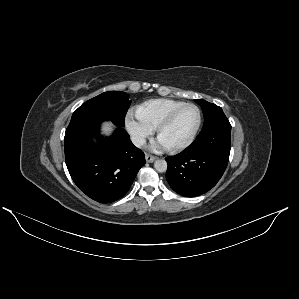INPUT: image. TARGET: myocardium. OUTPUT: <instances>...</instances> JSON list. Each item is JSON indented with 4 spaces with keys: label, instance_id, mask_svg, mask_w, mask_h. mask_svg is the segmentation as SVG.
I'll use <instances>...</instances> for the list:
<instances>
[{
    "label": "myocardium",
    "instance_id": "1",
    "mask_svg": "<svg viewBox=\"0 0 299 299\" xmlns=\"http://www.w3.org/2000/svg\"><path fill=\"white\" fill-rule=\"evenodd\" d=\"M185 107H194L197 112H198V121L196 124L195 129L193 130L192 134L190 135V137L184 141L183 143H180L178 145H174V146H167V148L171 151H179V150H183L185 148H187L188 146H190L192 144V142L194 141V139L196 138L201 124H202V111L199 108V106H197L194 103H184L180 106H178L177 108L173 109L170 113H168V115L159 123V125L157 126V135L160 139L161 133L162 131L169 125L171 124V122L174 120V118L176 117V115Z\"/></svg>",
    "mask_w": 299,
    "mask_h": 299
}]
</instances>
